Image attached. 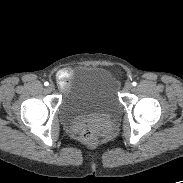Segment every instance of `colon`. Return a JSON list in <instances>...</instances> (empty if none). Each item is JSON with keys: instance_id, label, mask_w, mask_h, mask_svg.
I'll list each match as a JSON object with an SVG mask.
<instances>
[{"instance_id": "obj_1", "label": "colon", "mask_w": 183, "mask_h": 183, "mask_svg": "<svg viewBox=\"0 0 183 183\" xmlns=\"http://www.w3.org/2000/svg\"><path fill=\"white\" fill-rule=\"evenodd\" d=\"M59 84L61 86H64L63 79L59 78ZM80 135H81V139L83 140V142H85L88 145H93L97 141V139H98L97 134L91 128L90 125L85 126L81 130Z\"/></svg>"}]
</instances>
